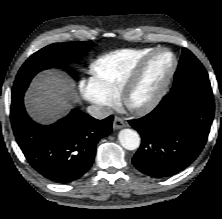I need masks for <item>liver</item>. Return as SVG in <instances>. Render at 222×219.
<instances>
[{
	"mask_svg": "<svg viewBox=\"0 0 222 219\" xmlns=\"http://www.w3.org/2000/svg\"><path fill=\"white\" fill-rule=\"evenodd\" d=\"M79 100L74 83L59 70L38 74L26 94L28 112L39 122L66 115Z\"/></svg>",
	"mask_w": 222,
	"mask_h": 219,
	"instance_id": "1",
	"label": "liver"
}]
</instances>
